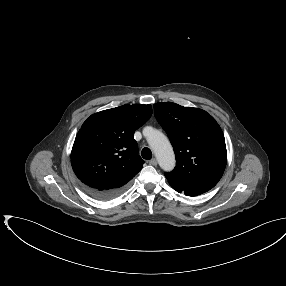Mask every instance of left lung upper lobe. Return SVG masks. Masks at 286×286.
I'll list each match as a JSON object with an SVG mask.
<instances>
[{"label": "left lung upper lobe", "instance_id": "1", "mask_svg": "<svg viewBox=\"0 0 286 286\" xmlns=\"http://www.w3.org/2000/svg\"><path fill=\"white\" fill-rule=\"evenodd\" d=\"M154 114L176 156L175 169L165 173L168 181L185 189H212L227 161L225 138L215 119L204 110L171 102L154 104Z\"/></svg>", "mask_w": 286, "mask_h": 286}]
</instances>
